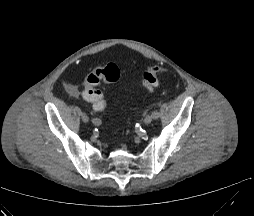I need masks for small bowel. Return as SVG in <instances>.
Returning <instances> with one entry per match:
<instances>
[{"mask_svg": "<svg viewBox=\"0 0 254 216\" xmlns=\"http://www.w3.org/2000/svg\"><path fill=\"white\" fill-rule=\"evenodd\" d=\"M64 88H65L66 92H67L70 96H72V97H78V96L80 95V91H79L78 87H76V86L73 85V84L66 83V84L64 85ZM92 104H93V103H92ZM93 108H94V110H96V111H101V110L104 109V106H103V105H101V106H94V105H93Z\"/></svg>", "mask_w": 254, "mask_h": 216, "instance_id": "c3829d8e", "label": "small bowel"}]
</instances>
